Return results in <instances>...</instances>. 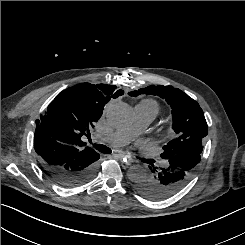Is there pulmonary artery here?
<instances>
[{"label":"pulmonary artery","mask_w":245,"mask_h":245,"mask_svg":"<svg viewBox=\"0 0 245 245\" xmlns=\"http://www.w3.org/2000/svg\"><path fill=\"white\" fill-rule=\"evenodd\" d=\"M156 116L157 112L153 108L137 104L134 124L127 129L111 133L106 137V141L113 146H122L131 141L138 131L148 126Z\"/></svg>","instance_id":"pulmonary-artery-1"}]
</instances>
